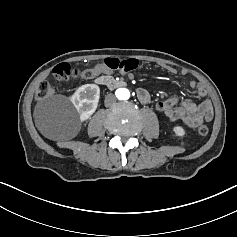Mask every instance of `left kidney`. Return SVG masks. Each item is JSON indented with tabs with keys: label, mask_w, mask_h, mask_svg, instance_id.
<instances>
[{
	"label": "left kidney",
	"mask_w": 237,
	"mask_h": 237,
	"mask_svg": "<svg viewBox=\"0 0 237 237\" xmlns=\"http://www.w3.org/2000/svg\"><path fill=\"white\" fill-rule=\"evenodd\" d=\"M171 130L175 134V136L180 138L186 136L187 134L185 128L181 125H174Z\"/></svg>",
	"instance_id": "5707ae66"
}]
</instances>
